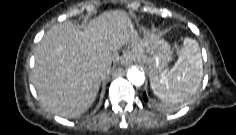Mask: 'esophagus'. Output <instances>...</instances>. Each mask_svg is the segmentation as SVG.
Returning a JSON list of instances; mask_svg holds the SVG:
<instances>
[{
    "instance_id": "1",
    "label": "esophagus",
    "mask_w": 236,
    "mask_h": 135,
    "mask_svg": "<svg viewBox=\"0 0 236 135\" xmlns=\"http://www.w3.org/2000/svg\"><path fill=\"white\" fill-rule=\"evenodd\" d=\"M136 59V56L134 54H128L125 56L124 63L132 62Z\"/></svg>"
}]
</instances>
